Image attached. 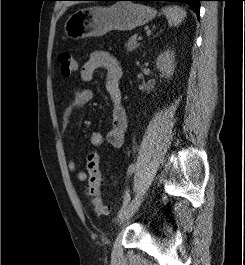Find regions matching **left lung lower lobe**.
<instances>
[{"instance_id":"obj_1","label":"left lung lower lobe","mask_w":245,"mask_h":265,"mask_svg":"<svg viewBox=\"0 0 245 265\" xmlns=\"http://www.w3.org/2000/svg\"><path fill=\"white\" fill-rule=\"evenodd\" d=\"M94 1H120V0H94ZM123 1H178L187 3L199 17V1L203 0H123Z\"/></svg>"}]
</instances>
